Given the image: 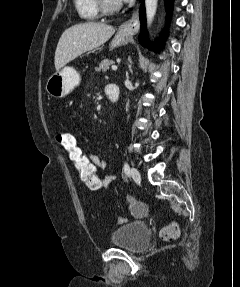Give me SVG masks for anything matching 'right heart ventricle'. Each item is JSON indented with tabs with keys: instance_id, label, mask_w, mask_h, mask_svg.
<instances>
[{
	"instance_id": "e07e8e85",
	"label": "right heart ventricle",
	"mask_w": 240,
	"mask_h": 287,
	"mask_svg": "<svg viewBox=\"0 0 240 287\" xmlns=\"http://www.w3.org/2000/svg\"><path fill=\"white\" fill-rule=\"evenodd\" d=\"M74 5L82 19L94 20L100 15L96 0H74Z\"/></svg>"
}]
</instances>
